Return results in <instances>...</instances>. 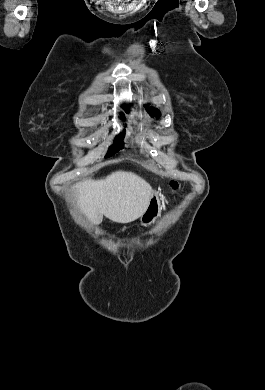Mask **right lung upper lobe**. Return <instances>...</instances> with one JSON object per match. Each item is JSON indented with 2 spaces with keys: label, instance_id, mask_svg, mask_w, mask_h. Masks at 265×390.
<instances>
[{
  "label": "right lung upper lobe",
  "instance_id": "cb5924a9",
  "mask_svg": "<svg viewBox=\"0 0 265 390\" xmlns=\"http://www.w3.org/2000/svg\"><path fill=\"white\" fill-rule=\"evenodd\" d=\"M124 109H126V110H127V109H128V106H124Z\"/></svg>",
  "mask_w": 265,
  "mask_h": 390
}]
</instances>
